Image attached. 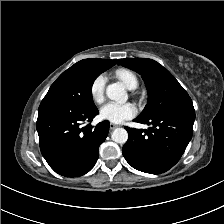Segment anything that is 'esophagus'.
<instances>
[{"label":"esophagus","instance_id":"esophagus-1","mask_svg":"<svg viewBox=\"0 0 224 224\" xmlns=\"http://www.w3.org/2000/svg\"><path fill=\"white\" fill-rule=\"evenodd\" d=\"M117 127H118V125H116L114 123H110V125H109L110 130H114Z\"/></svg>","mask_w":224,"mask_h":224}]
</instances>
